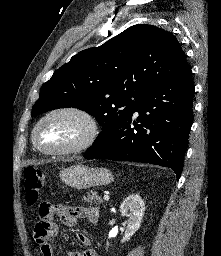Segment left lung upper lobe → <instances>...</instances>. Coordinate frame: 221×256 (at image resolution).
Returning a JSON list of instances; mask_svg holds the SVG:
<instances>
[{"mask_svg": "<svg viewBox=\"0 0 221 256\" xmlns=\"http://www.w3.org/2000/svg\"><path fill=\"white\" fill-rule=\"evenodd\" d=\"M185 64L172 33L153 25L131 26L56 70L41 87L32 116L75 107L95 116L102 126L99 138L127 121L154 86Z\"/></svg>", "mask_w": 221, "mask_h": 256, "instance_id": "5c2ea615", "label": "left lung upper lobe"}]
</instances>
